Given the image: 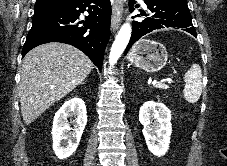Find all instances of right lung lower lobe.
I'll list each match as a JSON object with an SVG mask.
<instances>
[{"label": "right lung lower lobe", "mask_w": 227, "mask_h": 166, "mask_svg": "<svg viewBox=\"0 0 227 166\" xmlns=\"http://www.w3.org/2000/svg\"><path fill=\"white\" fill-rule=\"evenodd\" d=\"M86 8L85 22L79 16ZM110 0H73L34 15L22 50V58L34 47L61 42L84 52L101 71L105 47L110 37ZM83 23V25H79Z\"/></svg>", "instance_id": "98d812e1"}]
</instances>
